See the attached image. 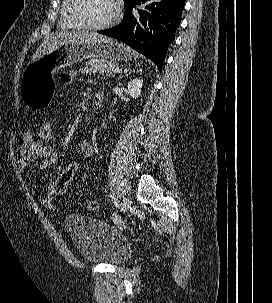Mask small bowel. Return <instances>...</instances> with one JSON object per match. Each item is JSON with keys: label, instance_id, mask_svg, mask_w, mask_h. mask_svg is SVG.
<instances>
[{"label": "small bowel", "instance_id": "obj_1", "mask_svg": "<svg viewBox=\"0 0 272 303\" xmlns=\"http://www.w3.org/2000/svg\"><path fill=\"white\" fill-rule=\"evenodd\" d=\"M71 78L72 76L70 74L62 76V80L66 83L70 82ZM80 148L82 153L88 157L92 156L94 153L93 146L88 140L82 141ZM16 158L18 165L22 170H25L29 163L38 160H40L38 169L44 170L58 162L59 154L53 146L42 144L31 134L26 133L20 138L16 150ZM55 196L54 186L53 183H51L48 185L46 193L40 197V204L47 209H53V200Z\"/></svg>", "mask_w": 272, "mask_h": 303}]
</instances>
